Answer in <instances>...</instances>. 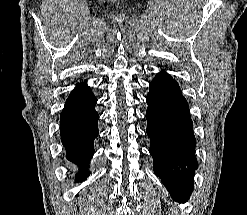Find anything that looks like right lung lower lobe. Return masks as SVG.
<instances>
[{
	"label": "right lung lower lobe",
	"mask_w": 247,
	"mask_h": 215,
	"mask_svg": "<svg viewBox=\"0 0 247 215\" xmlns=\"http://www.w3.org/2000/svg\"><path fill=\"white\" fill-rule=\"evenodd\" d=\"M97 100L86 83L76 85L70 93L61 113V141L67 159L83 167L76 180L82 181L88 172L85 168L94 153L93 142L98 136V118L95 111Z\"/></svg>",
	"instance_id": "98d812e1"
}]
</instances>
